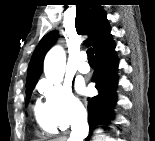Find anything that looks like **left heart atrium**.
<instances>
[{"label": "left heart atrium", "instance_id": "left-heart-atrium-1", "mask_svg": "<svg viewBox=\"0 0 155 141\" xmlns=\"http://www.w3.org/2000/svg\"><path fill=\"white\" fill-rule=\"evenodd\" d=\"M77 89L78 91L82 92L84 90V87L82 85H78Z\"/></svg>", "mask_w": 155, "mask_h": 141}]
</instances>
